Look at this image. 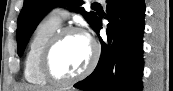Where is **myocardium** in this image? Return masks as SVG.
Returning a JSON list of instances; mask_svg holds the SVG:
<instances>
[{
  "label": "myocardium",
  "mask_w": 173,
  "mask_h": 91,
  "mask_svg": "<svg viewBox=\"0 0 173 91\" xmlns=\"http://www.w3.org/2000/svg\"><path fill=\"white\" fill-rule=\"evenodd\" d=\"M69 34H81L87 38L91 47V57L88 65L80 73L71 77L60 78L55 76L51 72L49 66L50 58L57 44ZM99 56L100 51L98 45L86 34V32H84L82 29L78 27L65 26L59 28L44 45L39 57L38 69L40 75L43 77V79L47 81V83H50L54 86H66L88 76L96 67L97 62L99 60Z\"/></svg>",
  "instance_id": "obj_1"
}]
</instances>
